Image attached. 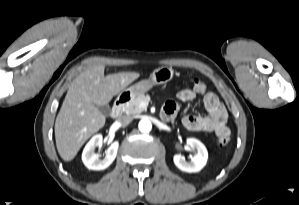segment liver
Listing matches in <instances>:
<instances>
[{"label":"liver","instance_id":"6515ba94","mask_svg":"<svg viewBox=\"0 0 299 205\" xmlns=\"http://www.w3.org/2000/svg\"><path fill=\"white\" fill-rule=\"evenodd\" d=\"M104 69V65H96L85 70L67 91L55 121L56 147L64 161H71L88 138L104 126L105 115L97 106L107 105L140 76L137 72H119L105 77Z\"/></svg>","mask_w":299,"mask_h":205}]
</instances>
